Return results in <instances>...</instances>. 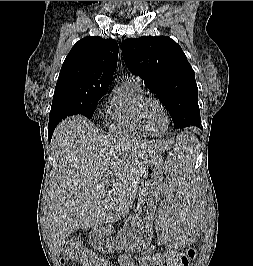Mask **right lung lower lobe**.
I'll use <instances>...</instances> for the list:
<instances>
[{"instance_id": "obj_1", "label": "right lung lower lobe", "mask_w": 253, "mask_h": 266, "mask_svg": "<svg viewBox=\"0 0 253 266\" xmlns=\"http://www.w3.org/2000/svg\"><path fill=\"white\" fill-rule=\"evenodd\" d=\"M58 123H49V125H48V138H49V141L51 140L53 132H54V129L57 126Z\"/></svg>"}]
</instances>
